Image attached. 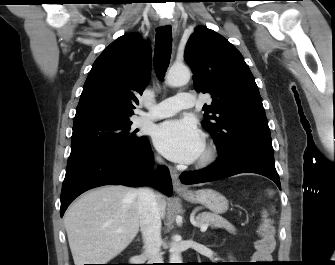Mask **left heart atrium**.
Instances as JSON below:
<instances>
[{
	"label": "left heart atrium",
	"mask_w": 335,
	"mask_h": 265,
	"mask_svg": "<svg viewBox=\"0 0 335 265\" xmlns=\"http://www.w3.org/2000/svg\"><path fill=\"white\" fill-rule=\"evenodd\" d=\"M153 141L165 157L175 162L190 163L204 149L200 130L188 119H173L159 124L153 132Z\"/></svg>",
	"instance_id": "1"
}]
</instances>
